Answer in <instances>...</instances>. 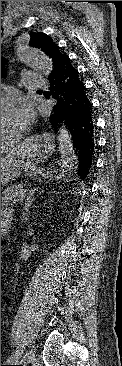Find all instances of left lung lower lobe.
<instances>
[{"label": "left lung lower lobe", "instance_id": "obj_1", "mask_svg": "<svg viewBox=\"0 0 122 366\" xmlns=\"http://www.w3.org/2000/svg\"><path fill=\"white\" fill-rule=\"evenodd\" d=\"M50 79V92L45 97L55 98V114L50 117L54 128L66 122L78 156V176L85 179L89 174L95 150V126L92 119V104L87 89L72 66L68 56H64L54 68Z\"/></svg>", "mask_w": 122, "mask_h": 366}]
</instances>
